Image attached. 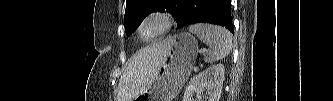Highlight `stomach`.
Returning a JSON list of instances; mask_svg holds the SVG:
<instances>
[{"mask_svg": "<svg viewBox=\"0 0 333 101\" xmlns=\"http://www.w3.org/2000/svg\"><path fill=\"white\" fill-rule=\"evenodd\" d=\"M167 51L150 85L133 101H171L181 91L198 53V41L189 33L165 40Z\"/></svg>", "mask_w": 333, "mask_h": 101, "instance_id": "obj_1", "label": "stomach"}]
</instances>
